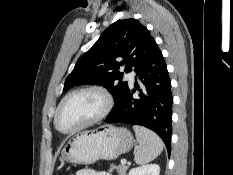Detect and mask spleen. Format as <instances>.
<instances>
[{
  "mask_svg": "<svg viewBox=\"0 0 233 175\" xmlns=\"http://www.w3.org/2000/svg\"><path fill=\"white\" fill-rule=\"evenodd\" d=\"M136 140L139 143V149L135 153V162L137 164H146L154 160L163 150V142L153 131L138 125H134Z\"/></svg>",
  "mask_w": 233,
  "mask_h": 175,
  "instance_id": "1",
  "label": "spleen"
}]
</instances>
